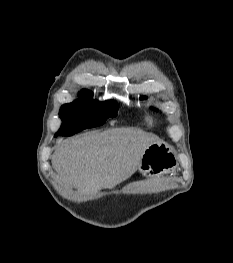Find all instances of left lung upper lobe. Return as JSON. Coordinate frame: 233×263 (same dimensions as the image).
Masks as SVG:
<instances>
[{
    "instance_id": "left-lung-upper-lobe-1",
    "label": "left lung upper lobe",
    "mask_w": 233,
    "mask_h": 263,
    "mask_svg": "<svg viewBox=\"0 0 233 263\" xmlns=\"http://www.w3.org/2000/svg\"><path fill=\"white\" fill-rule=\"evenodd\" d=\"M141 99H146V97H141Z\"/></svg>"
}]
</instances>
